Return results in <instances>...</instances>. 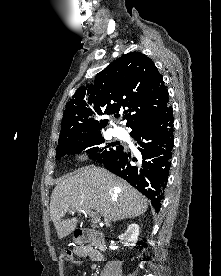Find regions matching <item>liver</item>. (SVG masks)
<instances>
[{
    "instance_id": "obj_1",
    "label": "liver",
    "mask_w": 221,
    "mask_h": 276,
    "mask_svg": "<svg viewBox=\"0 0 221 276\" xmlns=\"http://www.w3.org/2000/svg\"><path fill=\"white\" fill-rule=\"evenodd\" d=\"M146 198L123 179L104 168L88 166L62 180L52 191L50 218L59 239L75 230L78 218L63 220L67 211L99 213L105 225L146 212Z\"/></svg>"
}]
</instances>
